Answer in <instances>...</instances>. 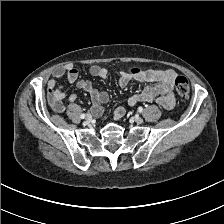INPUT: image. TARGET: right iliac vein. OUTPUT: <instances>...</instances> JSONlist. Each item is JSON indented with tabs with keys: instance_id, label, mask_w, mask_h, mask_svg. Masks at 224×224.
Here are the masks:
<instances>
[{
	"instance_id": "1",
	"label": "right iliac vein",
	"mask_w": 224,
	"mask_h": 224,
	"mask_svg": "<svg viewBox=\"0 0 224 224\" xmlns=\"http://www.w3.org/2000/svg\"><path fill=\"white\" fill-rule=\"evenodd\" d=\"M85 119H86L87 121H90V120H91V115H90V114H87L86 117H85Z\"/></svg>"
}]
</instances>
